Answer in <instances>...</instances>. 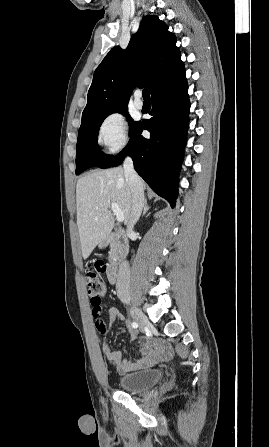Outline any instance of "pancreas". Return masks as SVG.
Masks as SVG:
<instances>
[{"instance_id": "1", "label": "pancreas", "mask_w": 269, "mask_h": 447, "mask_svg": "<svg viewBox=\"0 0 269 447\" xmlns=\"http://www.w3.org/2000/svg\"><path fill=\"white\" fill-rule=\"evenodd\" d=\"M108 257H109L110 263H115V261L118 257L117 247H116L115 243H111Z\"/></svg>"}]
</instances>
